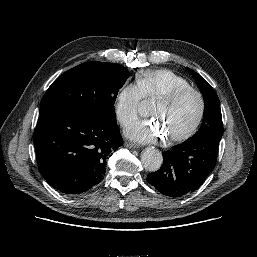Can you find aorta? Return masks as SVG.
Wrapping results in <instances>:
<instances>
[{
    "mask_svg": "<svg viewBox=\"0 0 257 257\" xmlns=\"http://www.w3.org/2000/svg\"><path fill=\"white\" fill-rule=\"evenodd\" d=\"M148 104L146 102L140 103L138 110L140 114H144L148 110ZM162 154L155 148L148 147L141 154V162L143 167L151 172H155L160 169L162 165Z\"/></svg>",
    "mask_w": 257,
    "mask_h": 257,
    "instance_id": "1",
    "label": "aorta"
}]
</instances>
